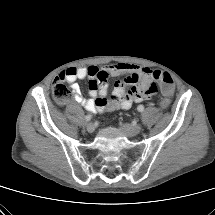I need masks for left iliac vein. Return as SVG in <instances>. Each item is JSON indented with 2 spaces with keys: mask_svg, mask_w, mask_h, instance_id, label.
<instances>
[{
  "mask_svg": "<svg viewBox=\"0 0 215 215\" xmlns=\"http://www.w3.org/2000/svg\"><path fill=\"white\" fill-rule=\"evenodd\" d=\"M122 130L125 132L128 136H135L138 133L141 132L142 126L140 124L138 125H131L128 123H124L121 125Z\"/></svg>",
  "mask_w": 215,
  "mask_h": 215,
  "instance_id": "1",
  "label": "left iliac vein"
}]
</instances>
